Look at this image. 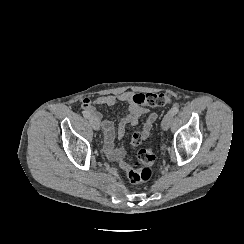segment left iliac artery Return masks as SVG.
<instances>
[{"mask_svg":"<svg viewBox=\"0 0 244 244\" xmlns=\"http://www.w3.org/2000/svg\"><path fill=\"white\" fill-rule=\"evenodd\" d=\"M178 112H179V107H177V106L173 107V108L171 109V111H170V113H171L172 115H175V114H177Z\"/></svg>","mask_w":244,"mask_h":244,"instance_id":"left-iliac-artery-1","label":"left iliac artery"}]
</instances>
